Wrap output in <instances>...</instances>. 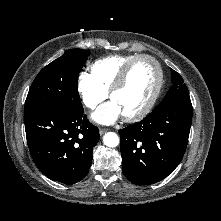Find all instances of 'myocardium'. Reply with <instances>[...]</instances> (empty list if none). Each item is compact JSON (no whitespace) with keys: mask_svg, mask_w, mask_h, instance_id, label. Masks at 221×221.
<instances>
[{"mask_svg":"<svg viewBox=\"0 0 221 221\" xmlns=\"http://www.w3.org/2000/svg\"><path fill=\"white\" fill-rule=\"evenodd\" d=\"M140 60H149L155 65V67L157 69V75H158L157 83H156L155 89H154L151 97L149 98L147 103L144 105V107L140 111H138L137 113L132 114V115H124L123 116L124 120L127 122L139 121V120L143 119L144 117H146L150 113V111L154 107V105H155V103L161 93L163 83H164V73H163V68H162L160 62L156 58H154L153 56H150V55H146V54L138 55V56L134 57L132 60H130L122 68V70L120 71L119 75L117 76L115 82L113 83L112 87L109 90V98H112L113 94L116 93L117 91H119L124 86L132 67Z\"/></svg>","mask_w":221,"mask_h":221,"instance_id":"obj_1","label":"myocardium"}]
</instances>
